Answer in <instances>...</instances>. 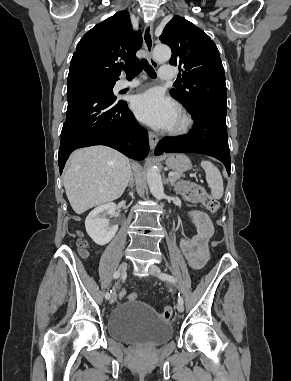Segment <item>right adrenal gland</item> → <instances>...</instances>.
<instances>
[{
	"label": "right adrenal gland",
	"mask_w": 291,
	"mask_h": 381,
	"mask_svg": "<svg viewBox=\"0 0 291 381\" xmlns=\"http://www.w3.org/2000/svg\"><path fill=\"white\" fill-rule=\"evenodd\" d=\"M133 185H134V177H133V173L131 172L129 183L127 186L132 188Z\"/></svg>",
	"instance_id": "obj_1"
}]
</instances>
